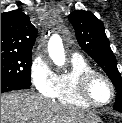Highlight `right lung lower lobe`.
I'll use <instances>...</instances> for the list:
<instances>
[{
	"instance_id": "1",
	"label": "right lung lower lobe",
	"mask_w": 122,
	"mask_h": 123,
	"mask_svg": "<svg viewBox=\"0 0 122 123\" xmlns=\"http://www.w3.org/2000/svg\"><path fill=\"white\" fill-rule=\"evenodd\" d=\"M18 89H30V86L12 80L1 79V93Z\"/></svg>"
}]
</instances>
